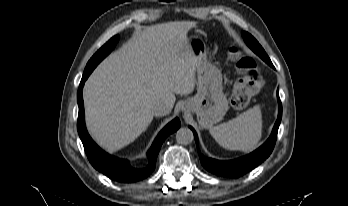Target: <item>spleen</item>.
Returning a JSON list of instances; mask_svg holds the SVG:
<instances>
[{
	"label": "spleen",
	"mask_w": 348,
	"mask_h": 206,
	"mask_svg": "<svg viewBox=\"0 0 348 206\" xmlns=\"http://www.w3.org/2000/svg\"><path fill=\"white\" fill-rule=\"evenodd\" d=\"M215 141L225 149L251 152L262 137V114L255 106L238 117L210 129Z\"/></svg>",
	"instance_id": "1"
}]
</instances>
